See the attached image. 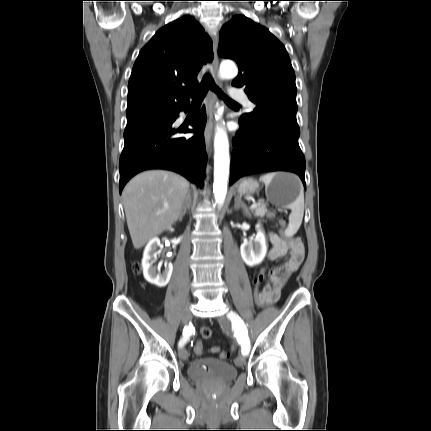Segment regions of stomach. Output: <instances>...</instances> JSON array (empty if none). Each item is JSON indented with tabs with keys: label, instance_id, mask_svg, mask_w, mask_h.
I'll list each match as a JSON object with an SVG mask.
<instances>
[{
	"label": "stomach",
	"instance_id": "1",
	"mask_svg": "<svg viewBox=\"0 0 431 431\" xmlns=\"http://www.w3.org/2000/svg\"><path fill=\"white\" fill-rule=\"evenodd\" d=\"M259 189V183L252 179H244L238 186L240 196H251ZM298 177L292 173L278 172L266 185V196L269 202L279 207H289L297 200L301 192Z\"/></svg>",
	"mask_w": 431,
	"mask_h": 431
}]
</instances>
